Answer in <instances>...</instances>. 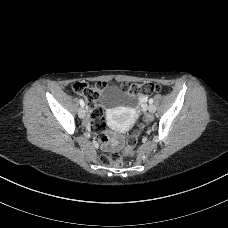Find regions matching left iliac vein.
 Returning a JSON list of instances; mask_svg holds the SVG:
<instances>
[{"label": "left iliac vein", "instance_id": "1", "mask_svg": "<svg viewBox=\"0 0 228 228\" xmlns=\"http://www.w3.org/2000/svg\"><path fill=\"white\" fill-rule=\"evenodd\" d=\"M155 110H156V107H155L153 104H150V105L148 106V111H149L150 113H154Z\"/></svg>", "mask_w": 228, "mask_h": 228}]
</instances>
